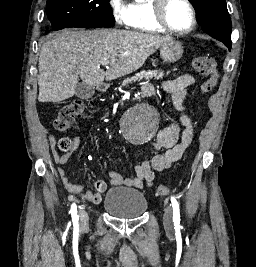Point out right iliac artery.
I'll list each match as a JSON object with an SVG mask.
<instances>
[{
	"mask_svg": "<svg viewBox=\"0 0 256 267\" xmlns=\"http://www.w3.org/2000/svg\"><path fill=\"white\" fill-rule=\"evenodd\" d=\"M71 216H72V221L73 222H78L79 216L77 215V206L75 203L71 205V210H70Z\"/></svg>",
	"mask_w": 256,
	"mask_h": 267,
	"instance_id": "right-iliac-artery-1",
	"label": "right iliac artery"
}]
</instances>
